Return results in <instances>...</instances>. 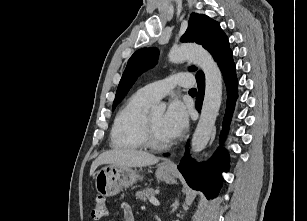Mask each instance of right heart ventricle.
<instances>
[{
	"mask_svg": "<svg viewBox=\"0 0 307 221\" xmlns=\"http://www.w3.org/2000/svg\"><path fill=\"white\" fill-rule=\"evenodd\" d=\"M154 101L141 90L134 93L118 111L110 134L111 147L136 150L144 147L142 131L149 106Z\"/></svg>",
	"mask_w": 307,
	"mask_h": 221,
	"instance_id": "e07e8e85",
	"label": "right heart ventricle"
}]
</instances>
